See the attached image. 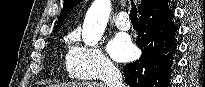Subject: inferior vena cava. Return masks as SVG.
Returning a JSON list of instances; mask_svg holds the SVG:
<instances>
[{"mask_svg":"<svg viewBox=\"0 0 205 87\" xmlns=\"http://www.w3.org/2000/svg\"><path fill=\"white\" fill-rule=\"evenodd\" d=\"M103 81L106 87H124L122 75L113 64H108L103 73Z\"/></svg>","mask_w":205,"mask_h":87,"instance_id":"obj_1","label":"inferior vena cava"}]
</instances>
